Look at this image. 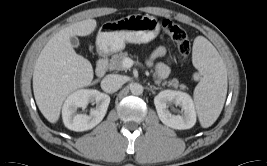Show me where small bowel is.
I'll use <instances>...</instances> for the list:
<instances>
[{"mask_svg": "<svg viewBox=\"0 0 267 166\" xmlns=\"http://www.w3.org/2000/svg\"><path fill=\"white\" fill-rule=\"evenodd\" d=\"M166 54V49L163 46L158 47L148 60V65L152 66L155 59L162 57ZM155 73L158 78L163 79L169 73V66L166 63H158L155 65Z\"/></svg>", "mask_w": 267, "mask_h": 166, "instance_id": "c3829d8e", "label": "small bowel"}]
</instances>
